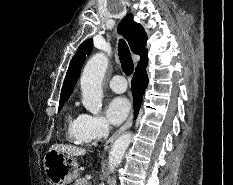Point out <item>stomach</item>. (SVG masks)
<instances>
[{
	"mask_svg": "<svg viewBox=\"0 0 233 185\" xmlns=\"http://www.w3.org/2000/svg\"><path fill=\"white\" fill-rule=\"evenodd\" d=\"M44 170L51 185H68L78 177L76 160L54 149L45 154Z\"/></svg>",
	"mask_w": 233,
	"mask_h": 185,
	"instance_id": "stomach-1",
	"label": "stomach"
}]
</instances>
